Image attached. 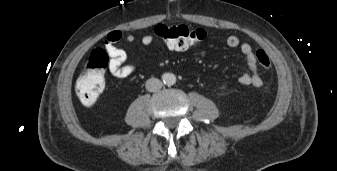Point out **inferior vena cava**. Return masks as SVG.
<instances>
[{"label": "inferior vena cava", "instance_id": "inferior-vena-cava-1", "mask_svg": "<svg viewBox=\"0 0 337 171\" xmlns=\"http://www.w3.org/2000/svg\"><path fill=\"white\" fill-rule=\"evenodd\" d=\"M162 82L157 78H150L146 81V89L149 92H155L162 88Z\"/></svg>", "mask_w": 337, "mask_h": 171}]
</instances>
